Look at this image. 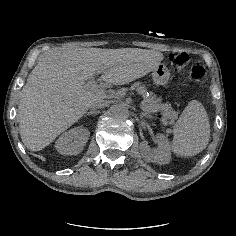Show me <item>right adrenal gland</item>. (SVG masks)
I'll return each instance as SVG.
<instances>
[{"instance_id": "1", "label": "right adrenal gland", "mask_w": 236, "mask_h": 236, "mask_svg": "<svg viewBox=\"0 0 236 236\" xmlns=\"http://www.w3.org/2000/svg\"><path fill=\"white\" fill-rule=\"evenodd\" d=\"M100 113V111H96L94 108L93 109H91L87 114H86V116H89V115H97V114H99Z\"/></svg>"}]
</instances>
